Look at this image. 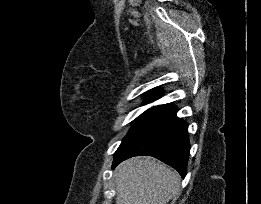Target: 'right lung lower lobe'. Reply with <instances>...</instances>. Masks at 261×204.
<instances>
[{
    "instance_id": "obj_1",
    "label": "right lung lower lobe",
    "mask_w": 261,
    "mask_h": 204,
    "mask_svg": "<svg viewBox=\"0 0 261 204\" xmlns=\"http://www.w3.org/2000/svg\"><path fill=\"white\" fill-rule=\"evenodd\" d=\"M172 104L159 106L128 134L114 154L113 166L138 156H153L186 175L190 144L187 123L176 116Z\"/></svg>"
}]
</instances>
